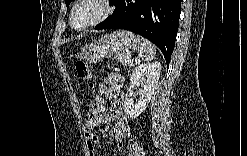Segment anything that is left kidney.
Segmentation results:
<instances>
[{
	"mask_svg": "<svg viewBox=\"0 0 247 156\" xmlns=\"http://www.w3.org/2000/svg\"><path fill=\"white\" fill-rule=\"evenodd\" d=\"M161 71L160 62L145 63L137 66L130 75V89L138 88L136 102L126 97L123 110L129 119L137 118L145 111L158 84Z\"/></svg>",
	"mask_w": 247,
	"mask_h": 156,
	"instance_id": "1",
	"label": "left kidney"
}]
</instances>
